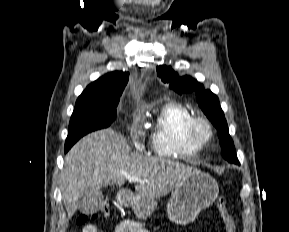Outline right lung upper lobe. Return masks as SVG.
<instances>
[{
	"instance_id": "obj_1",
	"label": "right lung upper lobe",
	"mask_w": 289,
	"mask_h": 232,
	"mask_svg": "<svg viewBox=\"0 0 289 232\" xmlns=\"http://www.w3.org/2000/svg\"><path fill=\"white\" fill-rule=\"evenodd\" d=\"M128 82V73L111 72L87 86L79 98H120Z\"/></svg>"
}]
</instances>
